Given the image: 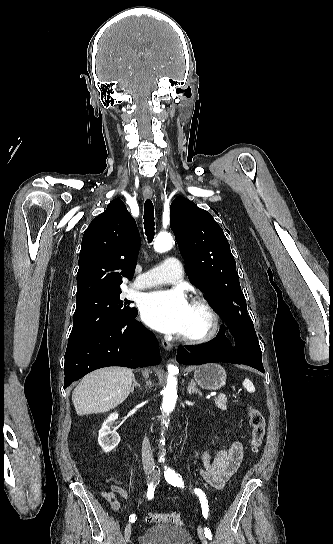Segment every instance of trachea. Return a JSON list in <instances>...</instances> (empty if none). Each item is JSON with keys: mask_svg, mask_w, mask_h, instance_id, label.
Returning a JSON list of instances; mask_svg holds the SVG:
<instances>
[{"mask_svg": "<svg viewBox=\"0 0 333 544\" xmlns=\"http://www.w3.org/2000/svg\"><path fill=\"white\" fill-rule=\"evenodd\" d=\"M144 229L147 236L148 242H152L155 232H154V207L150 199H147L144 204Z\"/></svg>", "mask_w": 333, "mask_h": 544, "instance_id": "obj_1", "label": "trachea"}]
</instances>
